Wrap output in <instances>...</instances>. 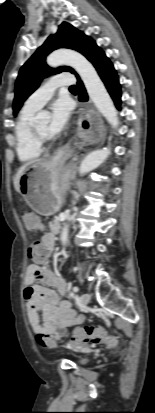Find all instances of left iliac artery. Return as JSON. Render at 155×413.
Segmentation results:
<instances>
[{"label":"left iliac artery","mask_w":155,"mask_h":413,"mask_svg":"<svg viewBox=\"0 0 155 413\" xmlns=\"http://www.w3.org/2000/svg\"><path fill=\"white\" fill-rule=\"evenodd\" d=\"M79 291L78 287H73V292L77 293Z\"/></svg>","instance_id":"left-iliac-artery-1"}]
</instances>
